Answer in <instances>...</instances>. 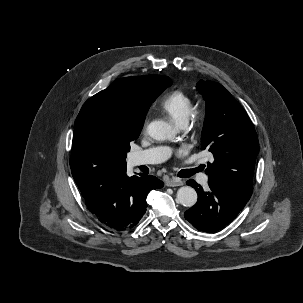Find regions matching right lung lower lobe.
Instances as JSON below:
<instances>
[{
	"label": "right lung lower lobe",
	"mask_w": 303,
	"mask_h": 303,
	"mask_svg": "<svg viewBox=\"0 0 303 303\" xmlns=\"http://www.w3.org/2000/svg\"><path fill=\"white\" fill-rule=\"evenodd\" d=\"M158 178L139 174L127 177L126 172L93 185L83 198L89 211L111 229L134 228L146 212L149 191L162 188Z\"/></svg>",
	"instance_id": "98d812e1"
}]
</instances>
